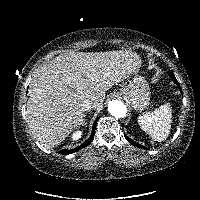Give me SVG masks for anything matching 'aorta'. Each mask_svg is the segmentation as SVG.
Here are the masks:
<instances>
[{
    "instance_id": "762f6f07",
    "label": "aorta",
    "mask_w": 200,
    "mask_h": 200,
    "mask_svg": "<svg viewBox=\"0 0 200 200\" xmlns=\"http://www.w3.org/2000/svg\"><path fill=\"white\" fill-rule=\"evenodd\" d=\"M108 111L116 118H123L126 116L127 108L122 101L112 100L108 104Z\"/></svg>"
}]
</instances>
